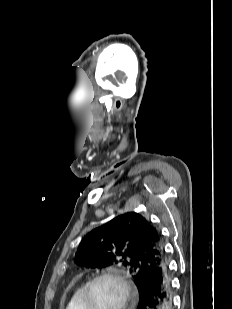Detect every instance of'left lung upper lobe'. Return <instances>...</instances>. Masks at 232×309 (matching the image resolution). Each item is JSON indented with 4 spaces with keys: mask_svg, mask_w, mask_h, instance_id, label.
Listing matches in <instances>:
<instances>
[{
    "mask_svg": "<svg viewBox=\"0 0 232 309\" xmlns=\"http://www.w3.org/2000/svg\"><path fill=\"white\" fill-rule=\"evenodd\" d=\"M166 259L162 235L138 213L117 216L92 230L79 244L75 262L86 268L121 265L140 291L155 266Z\"/></svg>",
    "mask_w": 232,
    "mask_h": 309,
    "instance_id": "obj_1",
    "label": "left lung upper lobe"
}]
</instances>
